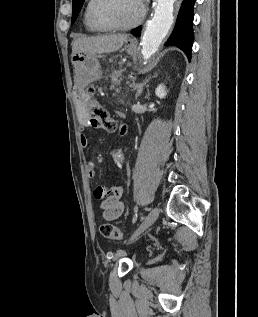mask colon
Returning <instances> with one entry per match:
<instances>
[{
  "label": "colon",
  "instance_id": "colon-1",
  "mask_svg": "<svg viewBox=\"0 0 258 317\" xmlns=\"http://www.w3.org/2000/svg\"><path fill=\"white\" fill-rule=\"evenodd\" d=\"M86 108L89 113L90 125L94 128L113 132L118 128L117 122L111 117L109 112L93 97L89 91L86 97ZM101 234L110 240H121L122 231L115 225L105 223L100 227Z\"/></svg>",
  "mask_w": 258,
  "mask_h": 317
}]
</instances>
